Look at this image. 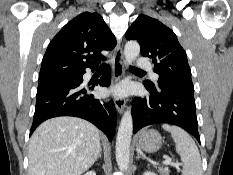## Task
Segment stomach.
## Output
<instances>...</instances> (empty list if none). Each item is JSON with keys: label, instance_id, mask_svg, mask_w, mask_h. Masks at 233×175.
Listing matches in <instances>:
<instances>
[{"label": "stomach", "instance_id": "obj_1", "mask_svg": "<svg viewBox=\"0 0 233 175\" xmlns=\"http://www.w3.org/2000/svg\"><path fill=\"white\" fill-rule=\"evenodd\" d=\"M136 145L146 152L153 153L161 147L162 137L156 130H142L136 136Z\"/></svg>", "mask_w": 233, "mask_h": 175}]
</instances>
